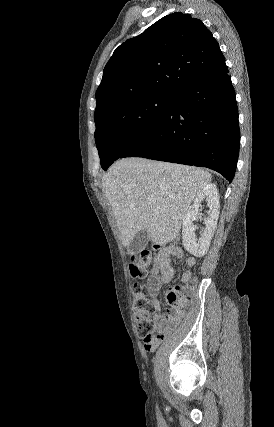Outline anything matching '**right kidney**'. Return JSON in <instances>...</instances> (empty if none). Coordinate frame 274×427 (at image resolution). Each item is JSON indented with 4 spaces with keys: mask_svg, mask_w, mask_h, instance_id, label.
<instances>
[{
    "mask_svg": "<svg viewBox=\"0 0 274 427\" xmlns=\"http://www.w3.org/2000/svg\"><path fill=\"white\" fill-rule=\"evenodd\" d=\"M204 200L208 202L209 208L208 217H204L206 227L202 231L200 239H196L194 221L198 217L199 208H201ZM219 212V192L215 184H204L201 190L197 192L193 206L187 210L182 221V243L189 253L196 255V257H202L207 253L210 241L216 231Z\"/></svg>",
    "mask_w": 274,
    "mask_h": 427,
    "instance_id": "obj_1",
    "label": "right kidney"
}]
</instances>
